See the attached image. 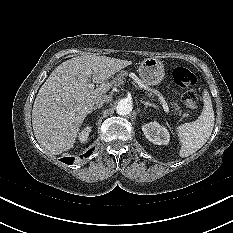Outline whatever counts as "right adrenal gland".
<instances>
[{"label":"right adrenal gland","instance_id":"right-adrenal-gland-1","mask_svg":"<svg viewBox=\"0 0 233 233\" xmlns=\"http://www.w3.org/2000/svg\"><path fill=\"white\" fill-rule=\"evenodd\" d=\"M101 107H102L101 105H96V106H94V107L90 110L89 114H91L93 111H95V110H97V109H100Z\"/></svg>","mask_w":233,"mask_h":233}]
</instances>
